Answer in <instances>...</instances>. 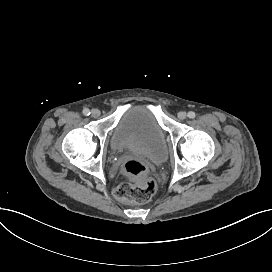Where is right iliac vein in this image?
Listing matches in <instances>:
<instances>
[{"instance_id":"obj_1","label":"right iliac vein","mask_w":272,"mask_h":272,"mask_svg":"<svg viewBox=\"0 0 272 272\" xmlns=\"http://www.w3.org/2000/svg\"><path fill=\"white\" fill-rule=\"evenodd\" d=\"M91 116L94 117V118H97L100 116V111L98 109H93L91 111Z\"/></svg>"}]
</instances>
